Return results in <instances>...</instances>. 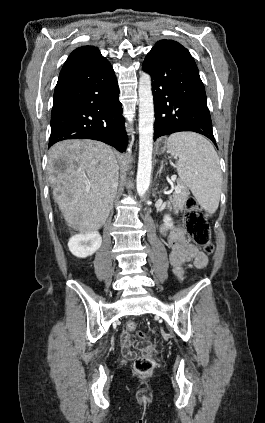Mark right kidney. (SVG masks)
I'll return each mask as SVG.
<instances>
[{"instance_id":"ca27d5eb","label":"right kidney","mask_w":265,"mask_h":423,"mask_svg":"<svg viewBox=\"0 0 265 423\" xmlns=\"http://www.w3.org/2000/svg\"><path fill=\"white\" fill-rule=\"evenodd\" d=\"M102 244V237L98 231L77 234L70 238L68 247L70 252L78 258L93 255Z\"/></svg>"}]
</instances>
